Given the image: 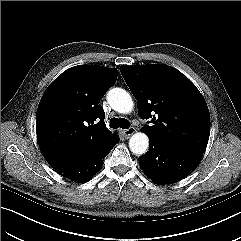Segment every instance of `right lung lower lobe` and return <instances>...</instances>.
<instances>
[{
	"instance_id": "right-lung-lower-lobe-1",
	"label": "right lung lower lobe",
	"mask_w": 241,
	"mask_h": 241,
	"mask_svg": "<svg viewBox=\"0 0 241 241\" xmlns=\"http://www.w3.org/2000/svg\"><path fill=\"white\" fill-rule=\"evenodd\" d=\"M119 141V137L114 139L104 148L91 155L90 157L62 168L55 169L59 174L74 180L76 182H86L90 180L94 174L99 172L103 165V159L107 156L112 148Z\"/></svg>"
}]
</instances>
